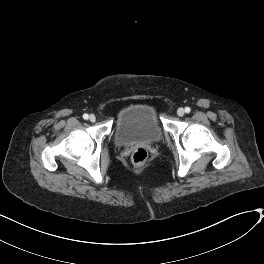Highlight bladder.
I'll list each match as a JSON object with an SVG mask.
<instances>
[{"mask_svg": "<svg viewBox=\"0 0 264 264\" xmlns=\"http://www.w3.org/2000/svg\"><path fill=\"white\" fill-rule=\"evenodd\" d=\"M163 128L155 110L147 104H134L122 110L117 118L113 142L117 146L160 141Z\"/></svg>", "mask_w": 264, "mask_h": 264, "instance_id": "31cf9c89", "label": "bladder"}]
</instances>
